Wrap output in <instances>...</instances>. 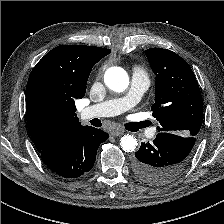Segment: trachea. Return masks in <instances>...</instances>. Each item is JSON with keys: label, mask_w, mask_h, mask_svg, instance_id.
<instances>
[{"label": "trachea", "mask_w": 224, "mask_h": 224, "mask_svg": "<svg viewBox=\"0 0 224 224\" xmlns=\"http://www.w3.org/2000/svg\"><path fill=\"white\" fill-rule=\"evenodd\" d=\"M147 127L145 122H138V123H128L126 125V129L132 131L134 128L140 129Z\"/></svg>", "instance_id": "trachea-1"}]
</instances>
